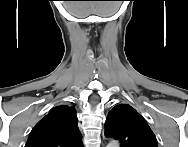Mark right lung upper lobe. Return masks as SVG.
Wrapping results in <instances>:
<instances>
[{"mask_svg": "<svg viewBox=\"0 0 188 147\" xmlns=\"http://www.w3.org/2000/svg\"><path fill=\"white\" fill-rule=\"evenodd\" d=\"M26 147H83L75 108H52L32 129Z\"/></svg>", "mask_w": 188, "mask_h": 147, "instance_id": "right-lung-upper-lobe-1", "label": "right lung upper lobe"}]
</instances>
